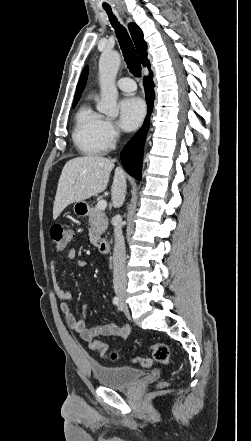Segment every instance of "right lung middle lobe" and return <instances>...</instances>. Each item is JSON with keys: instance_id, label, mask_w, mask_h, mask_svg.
Segmentation results:
<instances>
[{"instance_id": "1", "label": "right lung middle lobe", "mask_w": 251, "mask_h": 441, "mask_svg": "<svg viewBox=\"0 0 251 441\" xmlns=\"http://www.w3.org/2000/svg\"><path fill=\"white\" fill-rule=\"evenodd\" d=\"M77 103H78V101H74L73 102V107H75Z\"/></svg>"}]
</instances>
